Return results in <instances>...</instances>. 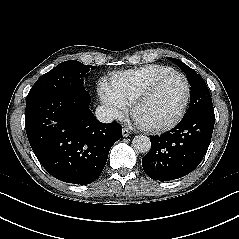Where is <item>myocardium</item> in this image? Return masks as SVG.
<instances>
[{"instance_id":"1","label":"myocardium","mask_w":239,"mask_h":239,"mask_svg":"<svg viewBox=\"0 0 239 239\" xmlns=\"http://www.w3.org/2000/svg\"><path fill=\"white\" fill-rule=\"evenodd\" d=\"M173 75L181 77L185 84L186 92H185V97H184L182 106L179 112L177 113V115L173 119L169 120L168 122H165L162 124H156V125H143V127L148 131H152V132L168 131L174 128L176 125H178L181 122V120L184 118L187 112L188 105L190 102V97H191V85L189 83V80L184 73L177 70H170L155 77L148 85H146L141 91H139V93L136 95L135 99L133 100L131 104V114L134 118H136V112L139 106L150 97V95L155 91L157 86L164 79Z\"/></svg>"}]
</instances>
